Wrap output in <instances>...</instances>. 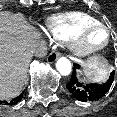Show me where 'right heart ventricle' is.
<instances>
[{
	"label": "right heart ventricle",
	"instance_id": "e07e8e85",
	"mask_svg": "<svg viewBox=\"0 0 117 117\" xmlns=\"http://www.w3.org/2000/svg\"><path fill=\"white\" fill-rule=\"evenodd\" d=\"M97 22L99 21L90 14L71 11L48 18L46 29L55 39L67 41L85 26Z\"/></svg>",
	"mask_w": 117,
	"mask_h": 117
}]
</instances>
